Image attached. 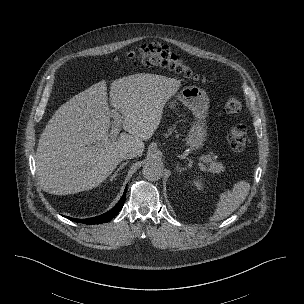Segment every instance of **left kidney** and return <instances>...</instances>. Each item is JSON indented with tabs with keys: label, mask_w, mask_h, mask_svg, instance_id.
Segmentation results:
<instances>
[{
	"label": "left kidney",
	"mask_w": 304,
	"mask_h": 304,
	"mask_svg": "<svg viewBox=\"0 0 304 304\" xmlns=\"http://www.w3.org/2000/svg\"><path fill=\"white\" fill-rule=\"evenodd\" d=\"M193 185L196 189L201 190L203 189V183L200 180H193Z\"/></svg>",
	"instance_id": "5707ae66"
}]
</instances>
